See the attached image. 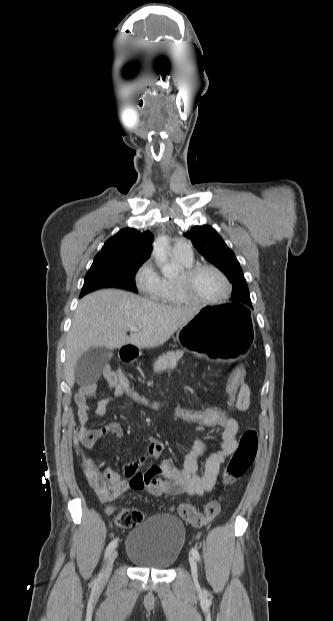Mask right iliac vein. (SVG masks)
Here are the masks:
<instances>
[{
	"label": "right iliac vein",
	"mask_w": 333,
	"mask_h": 621,
	"mask_svg": "<svg viewBox=\"0 0 333 621\" xmlns=\"http://www.w3.org/2000/svg\"><path fill=\"white\" fill-rule=\"evenodd\" d=\"M116 557H117V551H113L110 554V556H109V558L107 560V563H106V567H105V570H104V573H103V578L104 579H108L109 578V576H110V574L112 572L113 563H114Z\"/></svg>",
	"instance_id": "obj_1"
}]
</instances>
